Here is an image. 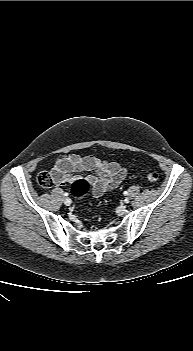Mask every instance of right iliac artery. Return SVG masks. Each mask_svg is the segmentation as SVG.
<instances>
[{
    "label": "right iliac artery",
    "instance_id": "right-iliac-artery-1",
    "mask_svg": "<svg viewBox=\"0 0 193 351\" xmlns=\"http://www.w3.org/2000/svg\"><path fill=\"white\" fill-rule=\"evenodd\" d=\"M64 196H68V193H64Z\"/></svg>",
    "mask_w": 193,
    "mask_h": 351
}]
</instances>
